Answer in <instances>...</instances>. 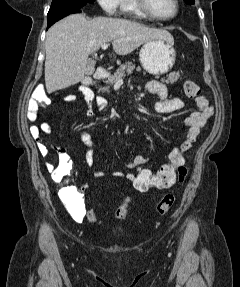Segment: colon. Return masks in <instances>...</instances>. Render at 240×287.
<instances>
[{"instance_id":"colon-1","label":"colon","mask_w":240,"mask_h":287,"mask_svg":"<svg viewBox=\"0 0 240 287\" xmlns=\"http://www.w3.org/2000/svg\"><path fill=\"white\" fill-rule=\"evenodd\" d=\"M184 92L189 98L201 97L200 87L192 80L186 79L184 81ZM38 104H46L49 98L45 92L40 89L36 92L33 99ZM185 152H182L179 147L175 148L169 154V161L162 164L157 170L146 168L145 166H138L132 173L131 182L134 188L139 192H146L152 188L167 189L185 181L188 173L185 165ZM71 172V165L68 161L59 159L52 171V177L55 181L67 180ZM80 188L84 189L82 185ZM176 197L174 192L166 193L156 207L158 215L163 216L167 214L173 207ZM129 198L126 197L124 201L115 209V217L118 220H123L128 215ZM86 219L89 222L97 220L96 213L93 208L86 211Z\"/></svg>"}]
</instances>
